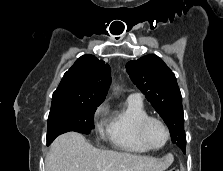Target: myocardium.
I'll use <instances>...</instances> for the list:
<instances>
[{"instance_id":"myocardium-1","label":"myocardium","mask_w":223,"mask_h":171,"mask_svg":"<svg viewBox=\"0 0 223 171\" xmlns=\"http://www.w3.org/2000/svg\"><path fill=\"white\" fill-rule=\"evenodd\" d=\"M151 122H158L159 124H161L163 126V128L166 131V140L160 146H154L153 144L150 143V141L147 138L146 131H147L148 125ZM138 136H139L140 140L142 141V143L146 147H148L150 150H159V149H162L164 146H166V144L169 142L171 133H170V129H169L168 125L166 124V122L163 119L156 117V116H147V117L143 118L138 124Z\"/></svg>"}]
</instances>
